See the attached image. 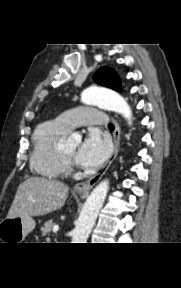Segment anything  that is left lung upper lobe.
I'll return each mask as SVG.
<instances>
[{
  "label": "left lung upper lobe",
  "mask_w": 181,
  "mask_h": 288,
  "mask_svg": "<svg viewBox=\"0 0 181 288\" xmlns=\"http://www.w3.org/2000/svg\"><path fill=\"white\" fill-rule=\"evenodd\" d=\"M96 82L116 91L121 90L120 79L116 72L109 67H101L96 75Z\"/></svg>",
  "instance_id": "1"
}]
</instances>
